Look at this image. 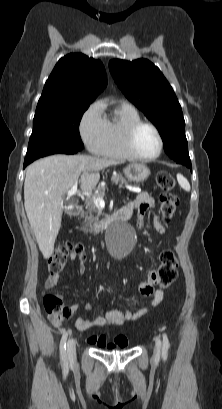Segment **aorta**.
Segmentation results:
<instances>
[{
	"mask_svg": "<svg viewBox=\"0 0 222 409\" xmlns=\"http://www.w3.org/2000/svg\"><path fill=\"white\" fill-rule=\"evenodd\" d=\"M133 236V231L130 226L124 223L115 224L109 233V245L111 249L120 256L127 255L131 248L130 239Z\"/></svg>",
	"mask_w": 222,
	"mask_h": 409,
	"instance_id": "obj_1",
	"label": "aorta"
}]
</instances>
